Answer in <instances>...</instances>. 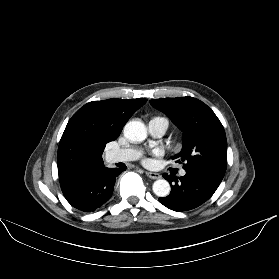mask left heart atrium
I'll list each match as a JSON object with an SVG mask.
<instances>
[{"instance_id":"39dd6f15","label":"left heart atrium","mask_w":279,"mask_h":279,"mask_svg":"<svg viewBox=\"0 0 279 279\" xmlns=\"http://www.w3.org/2000/svg\"><path fill=\"white\" fill-rule=\"evenodd\" d=\"M161 152L159 151V150H156V151H154V154H160ZM144 163L145 164H148L149 163V160L148 159H145L144 160Z\"/></svg>"}]
</instances>
